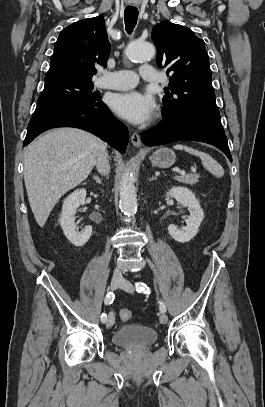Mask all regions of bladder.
Segmentation results:
<instances>
[{"label": "bladder", "mask_w": 265, "mask_h": 407, "mask_svg": "<svg viewBox=\"0 0 265 407\" xmlns=\"http://www.w3.org/2000/svg\"><path fill=\"white\" fill-rule=\"evenodd\" d=\"M158 338V333L143 325H125L118 329L113 335L116 345L133 348H144L153 344Z\"/></svg>", "instance_id": "31cf9c89"}]
</instances>
